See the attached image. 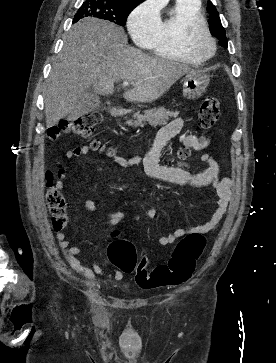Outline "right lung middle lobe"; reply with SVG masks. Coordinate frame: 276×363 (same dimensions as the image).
I'll list each match as a JSON object with an SVG mask.
<instances>
[{
    "instance_id": "obj_1",
    "label": "right lung middle lobe",
    "mask_w": 276,
    "mask_h": 363,
    "mask_svg": "<svg viewBox=\"0 0 276 363\" xmlns=\"http://www.w3.org/2000/svg\"><path fill=\"white\" fill-rule=\"evenodd\" d=\"M136 5V3L113 0H86L75 14L73 22L75 23L82 18L93 17L124 26L129 13Z\"/></svg>"
}]
</instances>
